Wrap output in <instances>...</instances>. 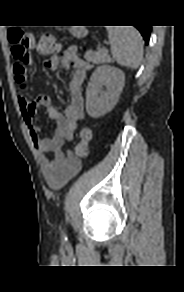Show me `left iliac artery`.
Instances as JSON below:
<instances>
[{
    "mask_svg": "<svg viewBox=\"0 0 184 292\" xmlns=\"http://www.w3.org/2000/svg\"><path fill=\"white\" fill-rule=\"evenodd\" d=\"M63 238L64 240H67V235L65 233L63 234Z\"/></svg>",
    "mask_w": 184,
    "mask_h": 292,
    "instance_id": "1",
    "label": "left iliac artery"
}]
</instances>
